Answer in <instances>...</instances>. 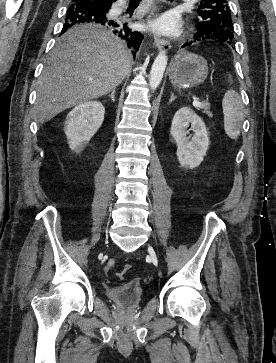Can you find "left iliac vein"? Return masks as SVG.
<instances>
[{"instance_id": "4c4485c4", "label": "left iliac vein", "mask_w": 276, "mask_h": 363, "mask_svg": "<svg viewBox=\"0 0 276 363\" xmlns=\"http://www.w3.org/2000/svg\"><path fill=\"white\" fill-rule=\"evenodd\" d=\"M149 253H150V256H151V259L154 263H157V256H156V253L155 251L153 250V248H149Z\"/></svg>"}]
</instances>
